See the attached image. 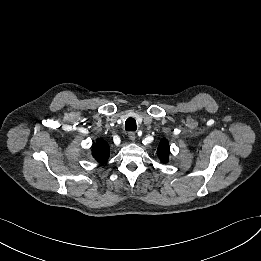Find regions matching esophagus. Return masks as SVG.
<instances>
[{
    "instance_id": "obj_1",
    "label": "esophagus",
    "mask_w": 261,
    "mask_h": 261,
    "mask_svg": "<svg viewBox=\"0 0 261 261\" xmlns=\"http://www.w3.org/2000/svg\"><path fill=\"white\" fill-rule=\"evenodd\" d=\"M128 137L131 141H135L136 135L134 132H129Z\"/></svg>"
}]
</instances>
